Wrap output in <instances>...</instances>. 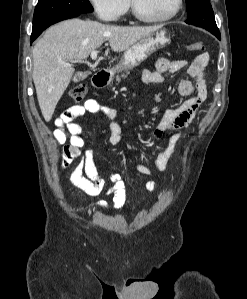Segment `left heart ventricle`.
<instances>
[{
  "mask_svg": "<svg viewBox=\"0 0 247 299\" xmlns=\"http://www.w3.org/2000/svg\"><path fill=\"white\" fill-rule=\"evenodd\" d=\"M141 12L150 17H161L172 11L176 0H136Z\"/></svg>",
  "mask_w": 247,
  "mask_h": 299,
  "instance_id": "obj_1",
  "label": "left heart ventricle"
}]
</instances>
